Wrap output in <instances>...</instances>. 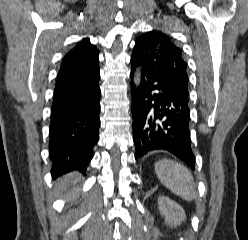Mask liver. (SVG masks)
I'll use <instances>...</instances> for the list:
<instances>
[{"label":"liver","mask_w":248,"mask_h":240,"mask_svg":"<svg viewBox=\"0 0 248 240\" xmlns=\"http://www.w3.org/2000/svg\"><path fill=\"white\" fill-rule=\"evenodd\" d=\"M79 178H80V175L77 172H73V173L65 175L60 182L59 189L60 187L61 189L67 188L68 185L77 182Z\"/></svg>","instance_id":"1"}]
</instances>
